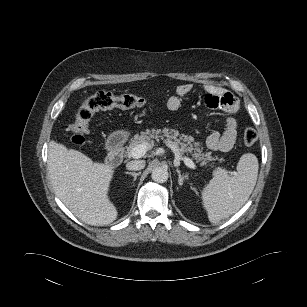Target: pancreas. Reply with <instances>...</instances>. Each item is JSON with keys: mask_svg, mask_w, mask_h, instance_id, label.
I'll use <instances>...</instances> for the list:
<instances>
[{"mask_svg": "<svg viewBox=\"0 0 307 307\" xmlns=\"http://www.w3.org/2000/svg\"><path fill=\"white\" fill-rule=\"evenodd\" d=\"M155 140H163L166 145L171 148L175 154H179L180 158L184 154H190L197 162H201V165H207L208 162L218 160L222 162L223 158L213 157L211 152H203V147L200 142H195L192 136L180 134L175 129H147L145 132H141L140 135H135L131 139L128 146H126V154L130 155L134 147L139 144H148V149L152 148ZM212 165V164H211ZM213 166V165H212Z\"/></svg>", "mask_w": 307, "mask_h": 307, "instance_id": "cf45deb5", "label": "pancreas"}]
</instances>
